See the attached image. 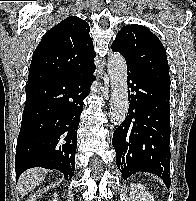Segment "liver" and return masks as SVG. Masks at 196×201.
Here are the masks:
<instances>
[{"instance_id":"obj_1","label":"liver","mask_w":196,"mask_h":201,"mask_svg":"<svg viewBox=\"0 0 196 201\" xmlns=\"http://www.w3.org/2000/svg\"><path fill=\"white\" fill-rule=\"evenodd\" d=\"M45 171L40 168H32L25 171L18 180L19 193L24 196L35 189L45 179Z\"/></svg>"}]
</instances>
